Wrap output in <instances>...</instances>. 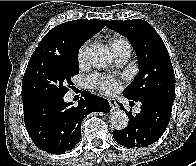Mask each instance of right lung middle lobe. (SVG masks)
Returning <instances> with one entry per match:
<instances>
[{
	"mask_svg": "<svg viewBox=\"0 0 196 166\" xmlns=\"http://www.w3.org/2000/svg\"><path fill=\"white\" fill-rule=\"evenodd\" d=\"M78 49L68 54L35 49L22 80V99L64 96L79 73Z\"/></svg>",
	"mask_w": 196,
	"mask_h": 166,
	"instance_id": "1",
	"label": "right lung middle lobe"
}]
</instances>
